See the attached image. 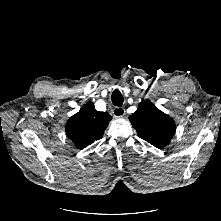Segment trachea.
<instances>
[{
	"label": "trachea",
	"mask_w": 221,
	"mask_h": 221,
	"mask_svg": "<svg viewBox=\"0 0 221 221\" xmlns=\"http://www.w3.org/2000/svg\"><path fill=\"white\" fill-rule=\"evenodd\" d=\"M111 100H112L113 105L118 106V107H121L123 105V101H124L123 96L118 89H115L112 92Z\"/></svg>",
	"instance_id": "trachea-1"
}]
</instances>
